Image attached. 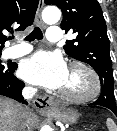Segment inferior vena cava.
Wrapping results in <instances>:
<instances>
[{"mask_svg": "<svg viewBox=\"0 0 117 131\" xmlns=\"http://www.w3.org/2000/svg\"><path fill=\"white\" fill-rule=\"evenodd\" d=\"M37 93V89L33 87H25L22 91V95L25 99L30 100ZM21 120L18 124L17 131H21L25 126V120L30 116V110L26 106L21 105Z\"/></svg>", "mask_w": 117, "mask_h": 131, "instance_id": "inferior-vena-cava-1", "label": "inferior vena cava"}]
</instances>
